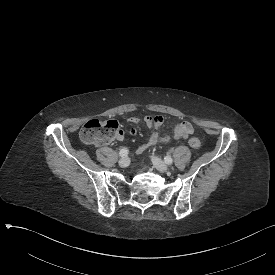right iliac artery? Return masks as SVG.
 <instances>
[{
  "mask_svg": "<svg viewBox=\"0 0 275 275\" xmlns=\"http://www.w3.org/2000/svg\"><path fill=\"white\" fill-rule=\"evenodd\" d=\"M128 152V149L124 147L120 150L119 154L121 157H126L128 155Z\"/></svg>",
  "mask_w": 275,
  "mask_h": 275,
  "instance_id": "obj_1",
  "label": "right iliac artery"
}]
</instances>
